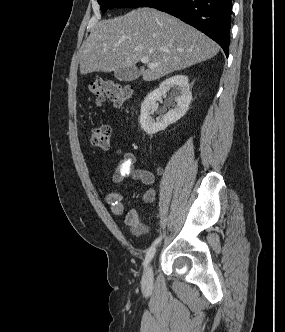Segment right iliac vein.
<instances>
[{
    "mask_svg": "<svg viewBox=\"0 0 285 332\" xmlns=\"http://www.w3.org/2000/svg\"><path fill=\"white\" fill-rule=\"evenodd\" d=\"M152 276H153V272H152V266L149 265L146 270L145 273L143 275L142 281L145 285H148L151 283L152 281Z\"/></svg>",
    "mask_w": 285,
    "mask_h": 332,
    "instance_id": "obj_1",
    "label": "right iliac vein"
}]
</instances>
